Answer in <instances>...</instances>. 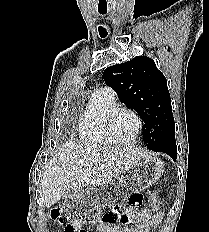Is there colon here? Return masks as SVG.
<instances>
[{
    "label": "colon",
    "instance_id": "1",
    "mask_svg": "<svg viewBox=\"0 0 209 232\" xmlns=\"http://www.w3.org/2000/svg\"><path fill=\"white\" fill-rule=\"evenodd\" d=\"M157 200L158 198L156 197V201ZM51 217L59 223L64 224V232H84V230L82 229V224L84 221H74V218L69 219L68 217H64L59 209L53 210L51 212ZM116 220L125 225L132 222L130 213H121L118 210H115L112 213L105 214L102 217V221L107 224H111ZM89 221H93V218L89 217Z\"/></svg>",
    "mask_w": 209,
    "mask_h": 232
}]
</instances>
